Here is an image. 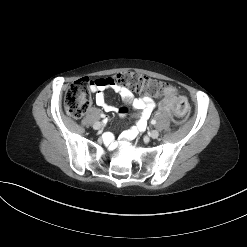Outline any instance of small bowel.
I'll return each mask as SVG.
<instances>
[{"label":"small bowel","instance_id":"c3829d8e","mask_svg":"<svg viewBox=\"0 0 247 247\" xmlns=\"http://www.w3.org/2000/svg\"><path fill=\"white\" fill-rule=\"evenodd\" d=\"M98 80H101L102 83L93 85L91 90L95 93V102L99 107L103 108L106 112H112L115 110V107L108 104L105 98V90L112 89L120 94L124 102L130 104L132 108L137 111L138 120L136 125L130 128L124 136L131 138L139 131L145 130L147 127V121L156 106L154 99L150 96L134 98L132 92L127 87L108 83L107 79ZM105 141L109 143L111 139L106 137Z\"/></svg>","mask_w":247,"mask_h":247}]
</instances>
